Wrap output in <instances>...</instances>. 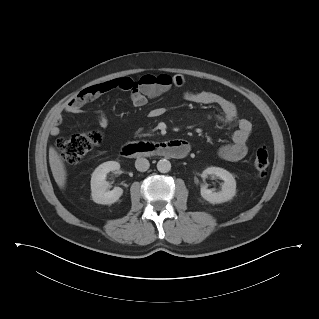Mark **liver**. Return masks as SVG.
Listing matches in <instances>:
<instances>
[{"label": "liver", "mask_w": 319, "mask_h": 319, "mask_svg": "<svg viewBox=\"0 0 319 319\" xmlns=\"http://www.w3.org/2000/svg\"><path fill=\"white\" fill-rule=\"evenodd\" d=\"M49 164L55 182L61 189H64L67 179V172L64 162L62 161L58 152L52 146L49 148Z\"/></svg>", "instance_id": "liver-1"}]
</instances>
